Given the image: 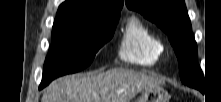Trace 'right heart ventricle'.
<instances>
[{
    "label": "right heart ventricle",
    "instance_id": "obj_1",
    "mask_svg": "<svg viewBox=\"0 0 221 102\" xmlns=\"http://www.w3.org/2000/svg\"><path fill=\"white\" fill-rule=\"evenodd\" d=\"M164 52L161 38L141 19L130 17L124 25L119 43V56L128 63L153 66Z\"/></svg>",
    "mask_w": 221,
    "mask_h": 102
}]
</instances>
